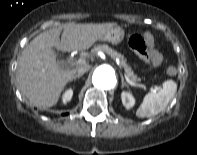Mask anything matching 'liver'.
<instances>
[{"mask_svg": "<svg viewBox=\"0 0 197 155\" xmlns=\"http://www.w3.org/2000/svg\"><path fill=\"white\" fill-rule=\"evenodd\" d=\"M115 23L74 24L56 27L40 33L22 51L17 67L21 94L40 108L54 106L76 70L57 62L53 47L63 52L89 49ZM61 40H60V34Z\"/></svg>", "mask_w": 197, "mask_h": 155, "instance_id": "liver-1", "label": "liver"}]
</instances>
